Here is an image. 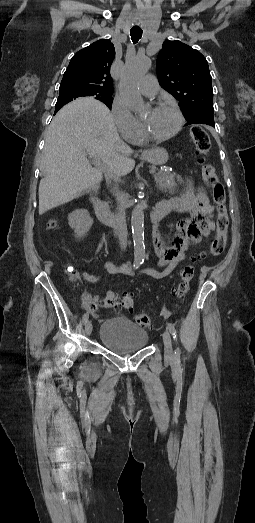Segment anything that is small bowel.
Returning <instances> with one entry per match:
<instances>
[{
    "instance_id": "c3829d8e",
    "label": "small bowel",
    "mask_w": 255,
    "mask_h": 523,
    "mask_svg": "<svg viewBox=\"0 0 255 523\" xmlns=\"http://www.w3.org/2000/svg\"><path fill=\"white\" fill-rule=\"evenodd\" d=\"M171 211L179 213H189L190 219H184L177 223L173 239L165 244L160 236L154 234V250L157 256L156 265L163 267L159 271L154 268H146L137 275H148L160 279L170 275L175 268L186 259L189 248L200 242L202 237L208 236L214 229L213 222L214 207L210 204L208 197L202 189H196L191 182L187 184L186 191L179 197L169 200ZM105 268L110 274H123L133 276L136 273L132 270L129 263L116 265L113 262H106ZM83 278L95 283L98 276L84 273ZM98 296L94 297V301Z\"/></svg>"
}]
</instances>
